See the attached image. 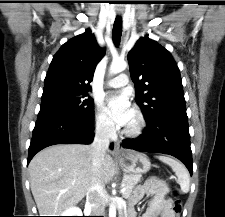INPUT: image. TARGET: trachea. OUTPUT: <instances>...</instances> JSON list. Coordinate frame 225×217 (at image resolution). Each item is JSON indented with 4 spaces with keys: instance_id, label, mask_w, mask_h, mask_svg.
<instances>
[{
    "instance_id": "obj_1",
    "label": "trachea",
    "mask_w": 225,
    "mask_h": 217,
    "mask_svg": "<svg viewBox=\"0 0 225 217\" xmlns=\"http://www.w3.org/2000/svg\"><path fill=\"white\" fill-rule=\"evenodd\" d=\"M112 35L114 44L119 45L122 35V18L120 16H117L114 21Z\"/></svg>"
}]
</instances>
